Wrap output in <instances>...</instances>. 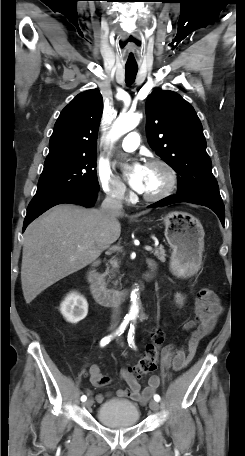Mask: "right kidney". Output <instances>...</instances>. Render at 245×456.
I'll return each mask as SVG.
<instances>
[{
    "label": "right kidney",
    "mask_w": 245,
    "mask_h": 456,
    "mask_svg": "<svg viewBox=\"0 0 245 456\" xmlns=\"http://www.w3.org/2000/svg\"><path fill=\"white\" fill-rule=\"evenodd\" d=\"M60 311L69 323L76 324L87 316V300L77 292H72L62 302Z\"/></svg>",
    "instance_id": "obj_1"
}]
</instances>
